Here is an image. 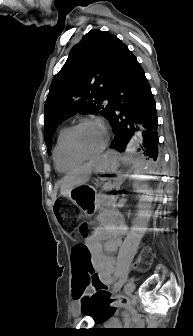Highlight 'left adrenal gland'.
Masks as SVG:
<instances>
[{"label": "left adrenal gland", "mask_w": 193, "mask_h": 336, "mask_svg": "<svg viewBox=\"0 0 193 336\" xmlns=\"http://www.w3.org/2000/svg\"><path fill=\"white\" fill-rule=\"evenodd\" d=\"M126 178L125 175H118V180L116 181V183L122 184L123 180Z\"/></svg>", "instance_id": "1"}]
</instances>
